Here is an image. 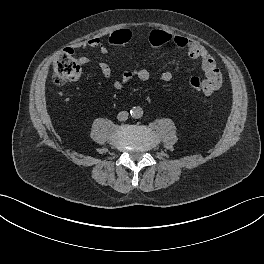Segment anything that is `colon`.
Wrapping results in <instances>:
<instances>
[{
  "label": "colon",
  "instance_id": "obj_1",
  "mask_svg": "<svg viewBox=\"0 0 264 264\" xmlns=\"http://www.w3.org/2000/svg\"><path fill=\"white\" fill-rule=\"evenodd\" d=\"M131 40L130 31L126 28H121L112 32L108 37L110 46H123ZM171 41L170 33L162 29H153L149 34V42L152 47L158 48L166 45ZM81 76V65L73 56L71 48H65L57 54L53 62V82L57 85H62L66 82L76 81ZM191 89L199 92L207 90V83L198 77H191L188 81Z\"/></svg>",
  "mask_w": 264,
  "mask_h": 264
}]
</instances>
